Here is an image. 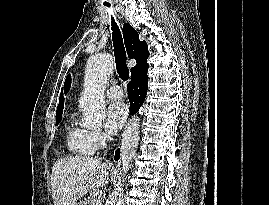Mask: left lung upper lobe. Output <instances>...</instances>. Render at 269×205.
<instances>
[{"instance_id":"1","label":"left lung upper lobe","mask_w":269,"mask_h":205,"mask_svg":"<svg viewBox=\"0 0 269 205\" xmlns=\"http://www.w3.org/2000/svg\"><path fill=\"white\" fill-rule=\"evenodd\" d=\"M71 85V78H70V74L67 76L65 84H64V88H65V92L67 93V91L69 90Z\"/></svg>"}]
</instances>
